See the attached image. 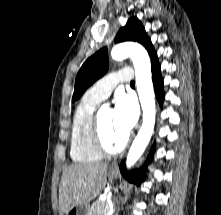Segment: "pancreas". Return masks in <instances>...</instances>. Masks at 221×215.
Here are the masks:
<instances>
[{"instance_id":"cf45deb5","label":"pancreas","mask_w":221,"mask_h":215,"mask_svg":"<svg viewBox=\"0 0 221 215\" xmlns=\"http://www.w3.org/2000/svg\"><path fill=\"white\" fill-rule=\"evenodd\" d=\"M109 203L107 200L95 201L88 210L87 215H107Z\"/></svg>"}]
</instances>
